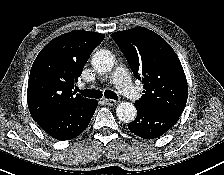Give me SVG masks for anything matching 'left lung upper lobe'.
<instances>
[{
	"label": "left lung upper lobe",
	"mask_w": 224,
	"mask_h": 175,
	"mask_svg": "<svg viewBox=\"0 0 224 175\" xmlns=\"http://www.w3.org/2000/svg\"><path fill=\"white\" fill-rule=\"evenodd\" d=\"M135 77L142 80V97L134 104L153 111L181 116L188 85L181 62L171 46L142 27L112 33Z\"/></svg>",
	"instance_id": "5c2ea615"
}]
</instances>
